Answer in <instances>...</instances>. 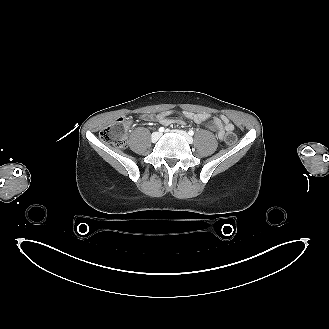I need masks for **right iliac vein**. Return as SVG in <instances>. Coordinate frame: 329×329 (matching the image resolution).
Instances as JSON below:
<instances>
[{"label": "right iliac vein", "mask_w": 329, "mask_h": 329, "mask_svg": "<svg viewBox=\"0 0 329 329\" xmlns=\"http://www.w3.org/2000/svg\"><path fill=\"white\" fill-rule=\"evenodd\" d=\"M160 135V133L154 132L151 137L152 142H156L159 139Z\"/></svg>", "instance_id": "63e3f726"}]
</instances>
